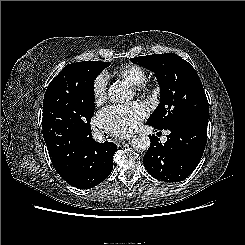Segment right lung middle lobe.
<instances>
[{
  "instance_id": "1",
  "label": "right lung middle lobe",
  "mask_w": 245,
  "mask_h": 245,
  "mask_svg": "<svg viewBox=\"0 0 245 245\" xmlns=\"http://www.w3.org/2000/svg\"><path fill=\"white\" fill-rule=\"evenodd\" d=\"M81 93L80 111L72 121L73 132H91L90 120L94 114V80L97 75L110 65V62L83 61L72 63Z\"/></svg>"
}]
</instances>
